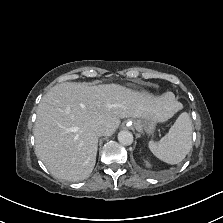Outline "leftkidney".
<instances>
[{
    "label": "left kidney",
    "instance_id": "left-kidney-1",
    "mask_svg": "<svg viewBox=\"0 0 223 223\" xmlns=\"http://www.w3.org/2000/svg\"><path fill=\"white\" fill-rule=\"evenodd\" d=\"M145 165H146L147 167H150V164H149L148 161H145Z\"/></svg>",
    "mask_w": 223,
    "mask_h": 223
}]
</instances>
